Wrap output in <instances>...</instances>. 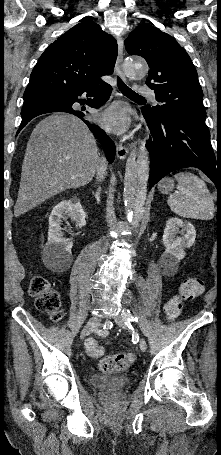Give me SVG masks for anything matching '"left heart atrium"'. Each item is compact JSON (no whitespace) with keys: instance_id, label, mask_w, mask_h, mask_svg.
<instances>
[{"instance_id":"left-heart-atrium-1","label":"left heart atrium","mask_w":221,"mask_h":455,"mask_svg":"<svg viewBox=\"0 0 221 455\" xmlns=\"http://www.w3.org/2000/svg\"><path fill=\"white\" fill-rule=\"evenodd\" d=\"M100 123L114 133L124 132L129 125L127 110L124 106L115 104L99 116Z\"/></svg>"}]
</instances>
